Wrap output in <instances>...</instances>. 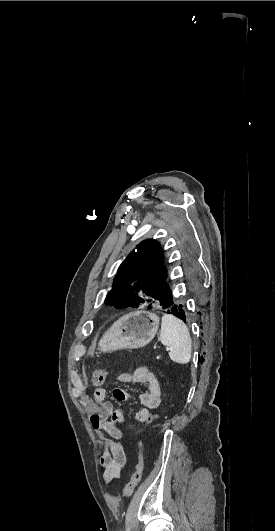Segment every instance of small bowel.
Returning a JSON list of instances; mask_svg holds the SVG:
<instances>
[{"label":"small bowel","mask_w":275,"mask_h":531,"mask_svg":"<svg viewBox=\"0 0 275 531\" xmlns=\"http://www.w3.org/2000/svg\"><path fill=\"white\" fill-rule=\"evenodd\" d=\"M116 381L122 384L144 385L146 391L139 395L142 408L137 411L133 422L142 424L143 419L152 420L150 410L157 409L161 404L162 384L160 378L147 367H139L133 373L121 372ZM107 390L98 388L94 391L93 398L97 410L92 412L89 421L101 441L103 453L100 457L104 469L103 476L106 481L119 479L127 465V457L122 445L118 442L123 436L120 427L124 423L122 410H116L114 404L106 400ZM131 393L126 392L122 400H129ZM111 438H106L104 433Z\"/></svg>","instance_id":"small-bowel-1"}]
</instances>
